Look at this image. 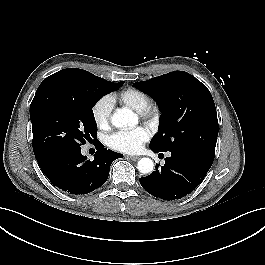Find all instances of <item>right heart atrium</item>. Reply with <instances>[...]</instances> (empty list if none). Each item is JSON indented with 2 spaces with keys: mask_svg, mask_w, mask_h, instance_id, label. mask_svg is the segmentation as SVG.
<instances>
[{
  "mask_svg": "<svg viewBox=\"0 0 265 265\" xmlns=\"http://www.w3.org/2000/svg\"><path fill=\"white\" fill-rule=\"evenodd\" d=\"M113 99L110 96H102L91 108L94 122L100 128L109 126L112 119Z\"/></svg>",
  "mask_w": 265,
  "mask_h": 265,
  "instance_id": "1",
  "label": "right heart atrium"
}]
</instances>
